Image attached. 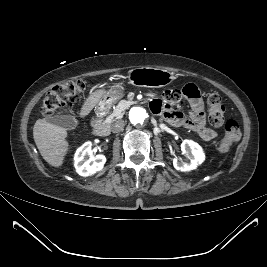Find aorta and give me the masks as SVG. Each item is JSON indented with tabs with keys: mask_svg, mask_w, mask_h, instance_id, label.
<instances>
[{
	"mask_svg": "<svg viewBox=\"0 0 267 267\" xmlns=\"http://www.w3.org/2000/svg\"><path fill=\"white\" fill-rule=\"evenodd\" d=\"M148 114L142 107H133L129 112V120L134 125H141L146 122Z\"/></svg>",
	"mask_w": 267,
	"mask_h": 267,
	"instance_id": "aorta-1",
	"label": "aorta"
}]
</instances>
